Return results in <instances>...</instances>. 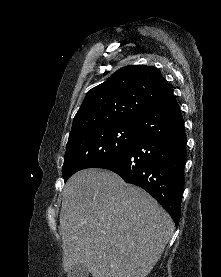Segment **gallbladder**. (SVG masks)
I'll return each mask as SVG.
<instances>
[{
	"mask_svg": "<svg viewBox=\"0 0 221 277\" xmlns=\"http://www.w3.org/2000/svg\"><path fill=\"white\" fill-rule=\"evenodd\" d=\"M68 277H89V270L84 264H76L69 270Z\"/></svg>",
	"mask_w": 221,
	"mask_h": 277,
	"instance_id": "1",
	"label": "gallbladder"
}]
</instances>
